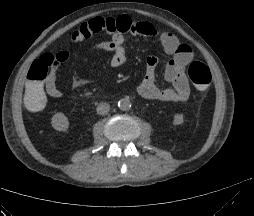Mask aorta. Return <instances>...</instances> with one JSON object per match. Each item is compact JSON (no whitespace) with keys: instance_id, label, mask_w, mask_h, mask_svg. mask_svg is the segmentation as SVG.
I'll use <instances>...</instances> for the list:
<instances>
[{"instance_id":"aorta-1","label":"aorta","mask_w":254,"mask_h":216,"mask_svg":"<svg viewBox=\"0 0 254 216\" xmlns=\"http://www.w3.org/2000/svg\"><path fill=\"white\" fill-rule=\"evenodd\" d=\"M131 101L128 98H122L118 102V107L121 111H128L131 109Z\"/></svg>"}]
</instances>
